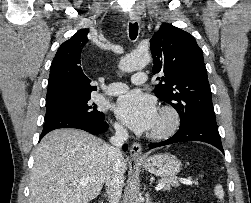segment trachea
<instances>
[{"label":"trachea","instance_id":"trachea-1","mask_svg":"<svg viewBox=\"0 0 251 203\" xmlns=\"http://www.w3.org/2000/svg\"><path fill=\"white\" fill-rule=\"evenodd\" d=\"M138 35V24L137 22L135 23H130L129 24V36L131 40H135Z\"/></svg>","mask_w":251,"mask_h":203}]
</instances>
